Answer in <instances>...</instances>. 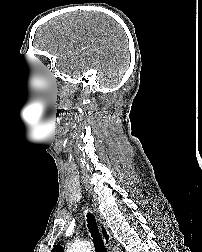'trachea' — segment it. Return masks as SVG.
<instances>
[{
  "label": "trachea",
  "mask_w": 202,
  "mask_h": 252,
  "mask_svg": "<svg viewBox=\"0 0 202 252\" xmlns=\"http://www.w3.org/2000/svg\"><path fill=\"white\" fill-rule=\"evenodd\" d=\"M86 217H87V226L91 234V237L93 238L96 251L106 252L102 237L99 234V230L94 215L89 212L87 213Z\"/></svg>",
  "instance_id": "obj_1"
}]
</instances>
